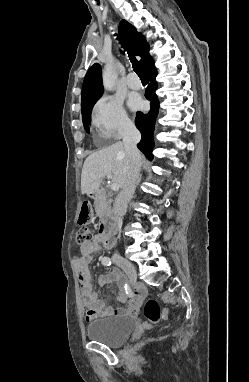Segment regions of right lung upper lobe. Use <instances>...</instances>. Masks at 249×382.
Listing matches in <instances>:
<instances>
[{"mask_svg": "<svg viewBox=\"0 0 249 382\" xmlns=\"http://www.w3.org/2000/svg\"><path fill=\"white\" fill-rule=\"evenodd\" d=\"M119 33L123 37L131 52L134 55L141 57L140 63L144 68L152 59L149 55V46L145 41L144 36L140 32H137L135 27L126 20H122L120 22ZM102 94L103 85L101 66L95 63L89 68L84 78L81 95L82 112L85 111L94 101H97Z\"/></svg>", "mask_w": 249, "mask_h": 382, "instance_id": "1", "label": "right lung upper lobe"}]
</instances>
